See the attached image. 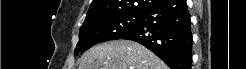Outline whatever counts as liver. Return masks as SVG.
<instances>
[{
  "mask_svg": "<svg viewBox=\"0 0 246 69\" xmlns=\"http://www.w3.org/2000/svg\"><path fill=\"white\" fill-rule=\"evenodd\" d=\"M79 69H167V66L144 46L133 41L118 40L89 49Z\"/></svg>",
  "mask_w": 246,
  "mask_h": 69,
  "instance_id": "1",
  "label": "liver"
}]
</instances>
